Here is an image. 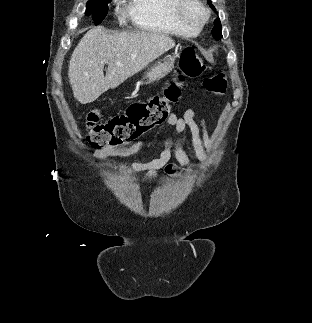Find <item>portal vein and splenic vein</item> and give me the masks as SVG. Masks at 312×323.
Wrapping results in <instances>:
<instances>
[{"label":"portal vein and splenic vein","instance_id":"obj_1","mask_svg":"<svg viewBox=\"0 0 312 323\" xmlns=\"http://www.w3.org/2000/svg\"><path fill=\"white\" fill-rule=\"evenodd\" d=\"M117 64H121V62H117Z\"/></svg>","mask_w":312,"mask_h":323}]
</instances>
